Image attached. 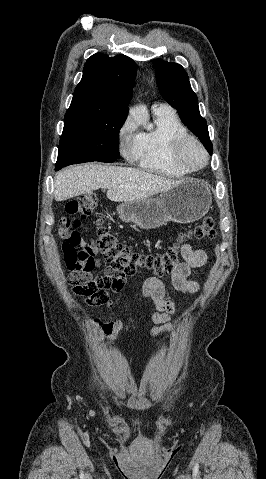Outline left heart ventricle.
I'll use <instances>...</instances> for the list:
<instances>
[{
	"label": "left heart ventricle",
	"mask_w": 266,
	"mask_h": 479,
	"mask_svg": "<svg viewBox=\"0 0 266 479\" xmlns=\"http://www.w3.org/2000/svg\"><path fill=\"white\" fill-rule=\"evenodd\" d=\"M185 157H186L187 162L191 166H197V165L201 164V162L203 161L202 153L200 152V150L198 148H196L194 146L187 149V151L185 153Z\"/></svg>",
	"instance_id": "obj_1"
}]
</instances>
